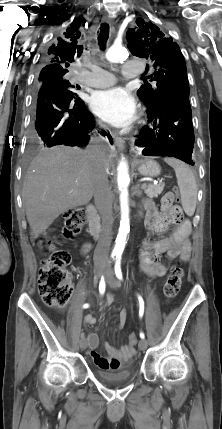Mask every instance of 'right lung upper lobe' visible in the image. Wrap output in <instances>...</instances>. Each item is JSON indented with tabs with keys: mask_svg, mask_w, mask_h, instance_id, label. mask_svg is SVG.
Wrapping results in <instances>:
<instances>
[{
	"mask_svg": "<svg viewBox=\"0 0 222 429\" xmlns=\"http://www.w3.org/2000/svg\"><path fill=\"white\" fill-rule=\"evenodd\" d=\"M78 25H71L67 31L57 38L45 52L47 65L41 70L40 75H66L67 67L83 51L81 35Z\"/></svg>",
	"mask_w": 222,
	"mask_h": 429,
	"instance_id": "right-lung-upper-lobe-1",
	"label": "right lung upper lobe"
}]
</instances>
